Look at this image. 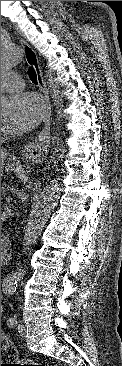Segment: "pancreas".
I'll list each match as a JSON object with an SVG mask.
<instances>
[{
  "label": "pancreas",
  "mask_w": 122,
  "mask_h": 366,
  "mask_svg": "<svg viewBox=\"0 0 122 366\" xmlns=\"http://www.w3.org/2000/svg\"><path fill=\"white\" fill-rule=\"evenodd\" d=\"M6 189H7V184L6 183H3L1 185V195H4L5 194Z\"/></svg>",
  "instance_id": "obj_1"
}]
</instances>
